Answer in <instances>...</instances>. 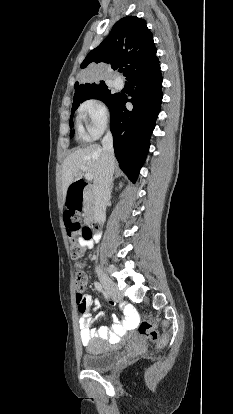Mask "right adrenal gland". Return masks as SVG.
<instances>
[{
  "label": "right adrenal gland",
  "instance_id": "obj_1",
  "mask_svg": "<svg viewBox=\"0 0 233 414\" xmlns=\"http://www.w3.org/2000/svg\"><path fill=\"white\" fill-rule=\"evenodd\" d=\"M113 181H114V178L112 179V182H111V190L113 189Z\"/></svg>",
  "mask_w": 233,
  "mask_h": 414
}]
</instances>
